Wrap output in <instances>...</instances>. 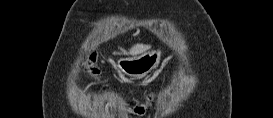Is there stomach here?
<instances>
[{
    "instance_id": "0dacf381",
    "label": "stomach",
    "mask_w": 273,
    "mask_h": 118,
    "mask_svg": "<svg viewBox=\"0 0 273 118\" xmlns=\"http://www.w3.org/2000/svg\"><path fill=\"white\" fill-rule=\"evenodd\" d=\"M161 60V51L146 52L140 56L120 58L118 68L127 76L142 78L158 67Z\"/></svg>"
}]
</instances>
